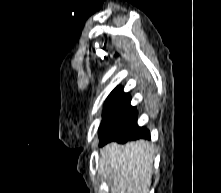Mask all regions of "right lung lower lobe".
Instances as JSON below:
<instances>
[{
  "label": "right lung lower lobe",
  "instance_id": "right-lung-lower-lobe-1",
  "mask_svg": "<svg viewBox=\"0 0 221 193\" xmlns=\"http://www.w3.org/2000/svg\"><path fill=\"white\" fill-rule=\"evenodd\" d=\"M139 138H144V139H149L150 138V132L149 130H146L143 127H137L133 130H131L130 132H128L127 134H125L124 136L115 139L113 141H116L118 143H125L129 140H136Z\"/></svg>",
  "mask_w": 221,
  "mask_h": 193
}]
</instances>
